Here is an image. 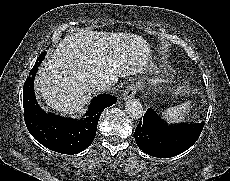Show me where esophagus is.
Returning <instances> with one entry per match:
<instances>
[{
    "mask_svg": "<svg viewBox=\"0 0 230 181\" xmlns=\"http://www.w3.org/2000/svg\"><path fill=\"white\" fill-rule=\"evenodd\" d=\"M137 88L134 84H130L126 87L122 94L123 100L132 99L136 94Z\"/></svg>",
    "mask_w": 230,
    "mask_h": 181,
    "instance_id": "esophagus-1",
    "label": "esophagus"
}]
</instances>
